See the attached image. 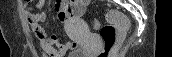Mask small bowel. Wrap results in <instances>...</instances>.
<instances>
[{
  "label": "small bowel",
  "mask_w": 172,
  "mask_h": 57,
  "mask_svg": "<svg viewBox=\"0 0 172 57\" xmlns=\"http://www.w3.org/2000/svg\"><path fill=\"white\" fill-rule=\"evenodd\" d=\"M88 3V0L58 1L56 3L58 20L62 23H70L72 19L83 14ZM44 5V0H37L35 2L26 1L24 3L26 20L41 49L50 56L59 57L70 50H74L77 47V43L75 41H62L57 33L47 35L41 26V23L46 18L45 12L43 11Z\"/></svg>",
  "instance_id": "small-bowel-1"
}]
</instances>
